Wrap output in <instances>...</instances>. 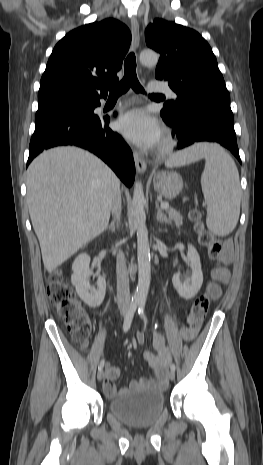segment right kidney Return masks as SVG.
<instances>
[{"label":"right kidney","instance_id":"right-kidney-1","mask_svg":"<svg viewBox=\"0 0 263 465\" xmlns=\"http://www.w3.org/2000/svg\"><path fill=\"white\" fill-rule=\"evenodd\" d=\"M90 256L86 253L79 254L73 262L71 282L76 288L79 297L92 308L98 307L104 300L106 292L105 278L99 276L97 280V288H91L89 285V277L94 275L89 269Z\"/></svg>","mask_w":263,"mask_h":465}]
</instances>
